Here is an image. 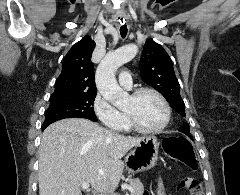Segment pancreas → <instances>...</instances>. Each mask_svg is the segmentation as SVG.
Wrapping results in <instances>:
<instances>
[{"mask_svg":"<svg viewBox=\"0 0 240 195\" xmlns=\"http://www.w3.org/2000/svg\"><path fill=\"white\" fill-rule=\"evenodd\" d=\"M129 185L133 187V191L131 195H142L144 191V185L138 177H135V179H129Z\"/></svg>","mask_w":240,"mask_h":195,"instance_id":"obj_1","label":"pancreas"}]
</instances>
